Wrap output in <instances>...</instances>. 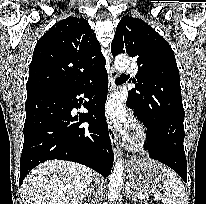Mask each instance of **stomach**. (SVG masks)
Here are the masks:
<instances>
[{"label": "stomach", "mask_w": 206, "mask_h": 204, "mask_svg": "<svg viewBox=\"0 0 206 204\" xmlns=\"http://www.w3.org/2000/svg\"><path fill=\"white\" fill-rule=\"evenodd\" d=\"M166 168L151 159H132L127 167L131 188L137 194L157 193L163 189Z\"/></svg>", "instance_id": "stomach-1"}]
</instances>
